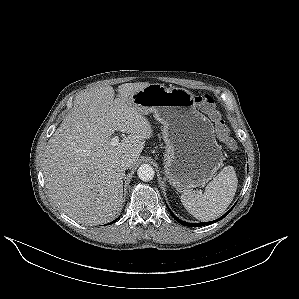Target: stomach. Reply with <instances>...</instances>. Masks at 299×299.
<instances>
[{
    "instance_id": "stomach-1",
    "label": "stomach",
    "mask_w": 299,
    "mask_h": 299,
    "mask_svg": "<svg viewBox=\"0 0 299 299\" xmlns=\"http://www.w3.org/2000/svg\"><path fill=\"white\" fill-rule=\"evenodd\" d=\"M132 101L142 114L153 113L163 125L164 172L170 185L187 190L214 177L224 157L212 122L196 109L189 90L155 83L133 94Z\"/></svg>"
}]
</instances>
